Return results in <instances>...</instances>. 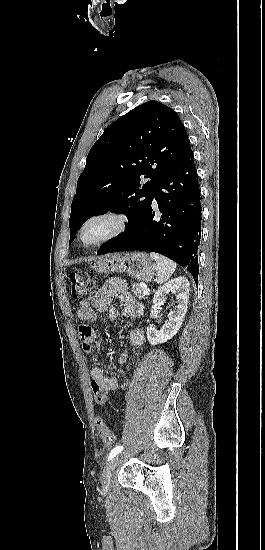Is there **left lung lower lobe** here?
<instances>
[{
  "label": "left lung lower lobe",
  "instance_id": "1",
  "mask_svg": "<svg viewBox=\"0 0 265 550\" xmlns=\"http://www.w3.org/2000/svg\"><path fill=\"white\" fill-rule=\"evenodd\" d=\"M139 223L114 243L102 245L97 254L126 250L160 253L187 268L198 281V246L201 237V203L190 145L170 167Z\"/></svg>",
  "mask_w": 265,
  "mask_h": 550
}]
</instances>
